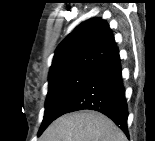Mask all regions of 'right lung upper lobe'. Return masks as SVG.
Returning a JSON list of instances; mask_svg holds the SVG:
<instances>
[{
	"label": "right lung upper lobe",
	"instance_id": "right-lung-upper-lobe-1",
	"mask_svg": "<svg viewBox=\"0 0 155 141\" xmlns=\"http://www.w3.org/2000/svg\"><path fill=\"white\" fill-rule=\"evenodd\" d=\"M116 48L105 20L90 19L76 27L56 49L49 77L77 69H96Z\"/></svg>",
	"mask_w": 155,
	"mask_h": 141
}]
</instances>
